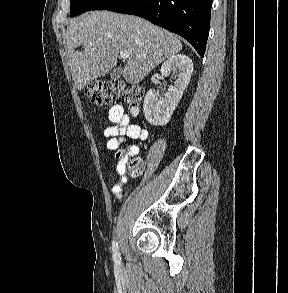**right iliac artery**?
<instances>
[{
	"mask_svg": "<svg viewBox=\"0 0 288 293\" xmlns=\"http://www.w3.org/2000/svg\"><path fill=\"white\" fill-rule=\"evenodd\" d=\"M112 250H113L114 262L116 265H119L121 262V257H120V253L118 250V243L116 241H113Z\"/></svg>",
	"mask_w": 288,
	"mask_h": 293,
	"instance_id": "right-iliac-artery-1",
	"label": "right iliac artery"
}]
</instances>
